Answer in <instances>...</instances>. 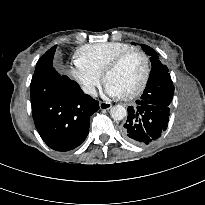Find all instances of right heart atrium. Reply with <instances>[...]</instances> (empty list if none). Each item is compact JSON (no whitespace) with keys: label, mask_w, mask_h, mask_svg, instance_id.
<instances>
[{"label":"right heart atrium","mask_w":205,"mask_h":205,"mask_svg":"<svg viewBox=\"0 0 205 205\" xmlns=\"http://www.w3.org/2000/svg\"><path fill=\"white\" fill-rule=\"evenodd\" d=\"M71 75L80 85L83 92L90 96L95 94L96 88L101 82L100 75L80 63L78 60L74 61V65L71 69Z\"/></svg>","instance_id":"d8ad5b80"}]
</instances>
